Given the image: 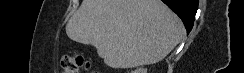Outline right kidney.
<instances>
[{"label":"right kidney","mask_w":244,"mask_h":73,"mask_svg":"<svg viewBox=\"0 0 244 73\" xmlns=\"http://www.w3.org/2000/svg\"><path fill=\"white\" fill-rule=\"evenodd\" d=\"M131 73H147V69L140 67L135 69V71H132Z\"/></svg>","instance_id":"right-kidney-1"}]
</instances>
